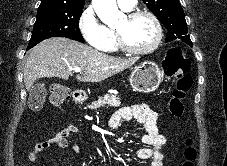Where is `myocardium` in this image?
<instances>
[{
  "mask_svg": "<svg viewBox=\"0 0 227 166\" xmlns=\"http://www.w3.org/2000/svg\"><path fill=\"white\" fill-rule=\"evenodd\" d=\"M141 16H146V17L150 18V20L153 22V24L155 26V38L149 46L144 47V48L131 47L125 42L120 31H118L116 29L114 30L115 39H116V43H117L118 47L120 49H122L123 51H125L129 54H132V55H146V54H149V53L155 51L158 48V46L160 45L162 36H163L161 23L154 13H152L150 11H146V10H137V11L126 12L124 14V18L128 21L134 20Z\"/></svg>",
  "mask_w": 227,
  "mask_h": 166,
  "instance_id": "1",
  "label": "myocardium"
}]
</instances>
